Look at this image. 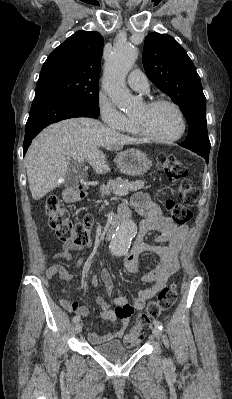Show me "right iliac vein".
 <instances>
[{
  "mask_svg": "<svg viewBox=\"0 0 232 399\" xmlns=\"http://www.w3.org/2000/svg\"><path fill=\"white\" fill-rule=\"evenodd\" d=\"M75 329H76V332H77V333H80L81 330H82L81 324H80V323H77L76 326H75Z\"/></svg>",
  "mask_w": 232,
  "mask_h": 399,
  "instance_id": "right-iliac-vein-1",
  "label": "right iliac vein"
}]
</instances>
